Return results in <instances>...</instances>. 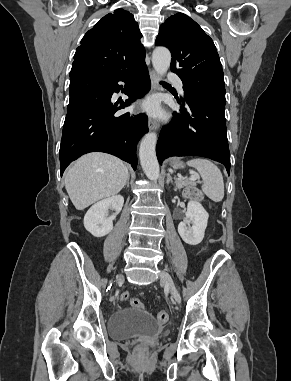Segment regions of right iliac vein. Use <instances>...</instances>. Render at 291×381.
<instances>
[{
    "label": "right iliac vein",
    "mask_w": 291,
    "mask_h": 381,
    "mask_svg": "<svg viewBox=\"0 0 291 381\" xmlns=\"http://www.w3.org/2000/svg\"><path fill=\"white\" fill-rule=\"evenodd\" d=\"M123 279V276L120 274L119 276H118V281H120V280H122Z\"/></svg>",
    "instance_id": "1"
}]
</instances>
